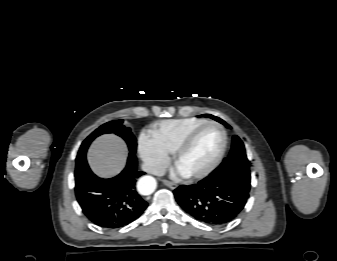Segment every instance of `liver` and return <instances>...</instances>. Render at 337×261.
<instances>
[{
  "mask_svg": "<svg viewBox=\"0 0 337 261\" xmlns=\"http://www.w3.org/2000/svg\"><path fill=\"white\" fill-rule=\"evenodd\" d=\"M126 158L127 148L124 141L113 134L97 138L87 155L93 172L104 178L118 174L124 168Z\"/></svg>",
  "mask_w": 337,
  "mask_h": 261,
  "instance_id": "obj_1",
  "label": "liver"
}]
</instances>
